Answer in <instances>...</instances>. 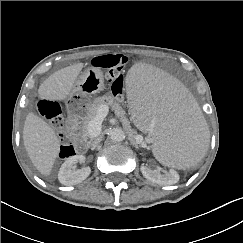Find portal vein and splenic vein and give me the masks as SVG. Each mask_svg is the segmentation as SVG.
<instances>
[{
    "label": "portal vein and splenic vein",
    "instance_id": "portal-vein-and-splenic-vein-1",
    "mask_svg": "<svg viewBox=\"0 0 243 243\" xmlns=\"http://www.w3.org/2000/svg\"><path fill=\"white\" fill-rule=\"evenodd\" d=\"M108 112L109 107L107 105H102L98 108L96 117L88 124V132L91 136H96L100 133L102 121Z\"/></svg>",
    "mask_w": 243,
    "mask_h": 243
}]
</instances>
